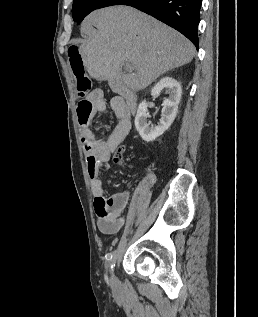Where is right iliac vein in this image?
<instances>
[{
    "label": "right iliac vein",
    "mask_w": 258,
    "mask_h": 317,
    "mask_svg": "<svg viewBox=\"0 0 258 317\" xmlns=\"http://www.w3.org/2000/svg\"><path fill=\"white\" fill-rule=\"evenodd\" d=\"M111 267L113 268L114 266L112 265ZM113 269L115 270L116 268L114 267ZM113 269L111 270L112 271V273H111L112 275L114 274L113 273V271H114Z\"/></svg>",
    "instance_id": "right-iliac-vein-1"
}]
</instances>
